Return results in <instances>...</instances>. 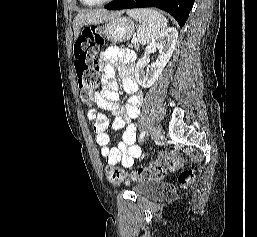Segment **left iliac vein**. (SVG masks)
<instances>
[{"label": "left iliac vein", "mask_w": 257, "mask_h": 237, "mask_svg": "<svg viewBox=\"0 0 257 237\" xmlns=\"http://www.w3.org/2000/svg\"><path fill=\"white\" fill-rule=\"evenodd\" d=\"M161 137H162V128L161 126H156L151 133V140L153 142H157L161 139Z\"/></svg>", "instance_id": "left-iliac-vein-1"}]
</instances>
